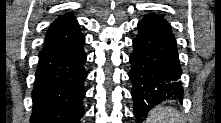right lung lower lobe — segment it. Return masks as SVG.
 <instances>
[{"instance_id":"right-lung-lower-lobe-1","label":"right lung lower lobe","mask_w":221,"mask_h":123,"mask_svg":"<svg viewBox=\"0 0 221 123\" xmlns=\"http://www.w3.org/2000/svg\"><path fill=\"white\" fill-rule=\"evenodd\" d=\"M84 43L81 32L45 43L39 53L32 91V123H80L87 75Z\"/></svg>"}]
</instances>
